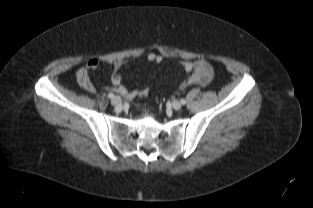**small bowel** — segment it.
Instances as JSON below:
<instances>
[{
  "mask_svg": "<svg viewBox=\"0 0 313 208\" xmlns=\"http://www.w3.org/2000/svg\"><path fill=\"white\" fill-rule=\"evenodd\" d=\"M147 59L150 62L161 63L163 57L155 53H149ZM123 61L118 60L113 63V73L111 76V82L113 84V90L122 95L126 99H133L138 95V91L129 90L122 84V77L118 73L122 67ZM183 69L189 74L187 80L183 82L182 87L199 84H207L213 75L211 66L205 60L196 61H184L182 62ZM99 67V60L96 58L89 59L85 66L79 68L76 72V80L78 85L87 91L88 93H95V87L90 79V72L96 70Z\"/></svg>",
  "mask_w": 313,
  "mask_h": 208,
  "instance_id": "small-bowel-1",
  "label": "small bowel"
}]
</instances>
